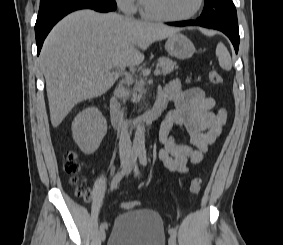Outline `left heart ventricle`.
Masks as SVG:
<instances>
[{
	"instance_id": "1",
	"label": "left heart ventricle",
	"mask_w": 283,
	"mask_h": 245,
	"mask_svg": "<svg viewBox=\"0 0 283 245\" xmlns=\"http://www.w3.org/2000/svg\"><path fill=\"white\" fill-rule=\"evenodd\" d=\"M148 10L168 17H179L190 13L197 0H144Z\"/></svg>"
}]
</instances>
